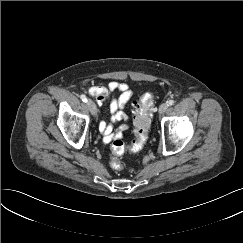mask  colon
Masks as SVG:
<instances>
[{
    "label": "colon",
    "mask_w": 243,
    "mask_h": 243,
    "mask_svg": "<svg viewBox=\"0 0 243 243\" xmlns=\"http://www.w3.org/2000/svg\"><path fill=\"white\" fill-rule=\"evenodd\" d=\"M134 139L126 146L121 139H115L111 145L112 158L110 165L114 170H121L123 165L119 160L127 150L131 152L140 151L148 138V131L154 110L153 94L145 93L139 102L134 104Z\"/></svg>",
    "instance_id": "obj_1"
}]
</instances>
